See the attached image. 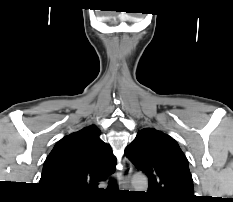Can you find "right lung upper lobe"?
<instances>
[{"label": "right lung upper lobe", "instance_id": "obj_1", "mask_svg": "<svg viewBox=\"0 0 233 202\" xmlns=\"http://www.w3.org/2000/svg\"><path fill=\"white\" fill-rule=\"evenodd\" d=\"M95 125L65 136L48 155L40 184L57 196L84 197L115 171L111 147Z\"/></svg>", "mask_w": 233, "mask_h": 202}]
</instances>
